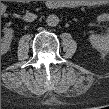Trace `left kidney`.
<instances>
[{"mask_svg":"<svg viewBox=\"0 0 109 109\" xmlns=\"http://www.w3.org/2000/svg\"><path fill=\"white\" fill-rule=\"evenodd\" d=\"M98 22H106L109 21L108 14H101L97 17ZM89 41L93 48L97 49L98 51H107L109 48V34L103 36H96L91 35L89 37Z\"/></svg>","mask_w":109,"mask_h":109,"instance_id":"5707ae66","label":"left kidney"}]
</instances>
